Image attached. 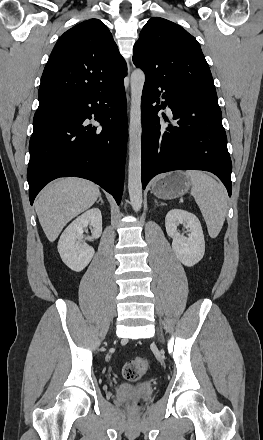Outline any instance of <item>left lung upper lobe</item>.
I'll use <instances>...</instances> for the list:
<instances>
[{
    "label": "left lung upper lobe",
    "instance_id": "1",
    "mask_svg": "<svg viewBox=\"0 0 263 440\" xmlns=\"http://www.w3.org/2000/svg\"><path fill=\"white\" fill-rule=\"evenodd\" d=\"M133 62L148 79L174 83L190 94L217 98L199 43L169 20L153 17L147 22L134 45Z\"/></svg>",
    "mask_w": 263,
    "mask_h": 440
}]
</instances>
